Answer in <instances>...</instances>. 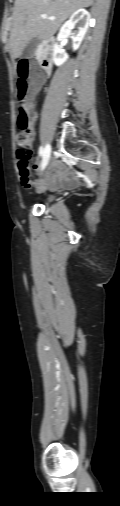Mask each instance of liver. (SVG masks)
Returning <instances> with one entry per match:
<instances>
[{"instance_id": "1", "label": "liver", "mask_w": 120, "mask_h": 506, "mask_svg": "<svg viewBox=\"0 0 120 506\" xmlns=\"http://www.w3.org/2000/svg\"><path fill=\"white\" fill-rule=\"evenodd\" d=\"M92 3L93 0H15L9 39L11 57H20L33 38L49 39L76 10ZM44 14L55 19H42Z\"/></svg>"}]
</instances>
